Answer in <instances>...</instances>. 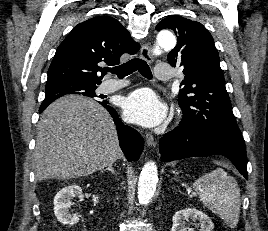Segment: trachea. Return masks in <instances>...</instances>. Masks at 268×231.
<instances>
[{
  "instance_id": "trachea-1",
  "label": "trachea",
  "mask_w": 268,
  "mask_h": 231,
  "mask_svg": "<svg viewBox=\"0 0 268 231\" xmlns=\"http://www.w3.org/2000/svg\"><path fill=\"white\" fill-rule=\"evenodd\" d=\"M136 70H138L147 79H152V73L148 64L139 58L132 59L122 65L107 69L108 72L116 74L119 78H124Z\"/></svg>"
}]
</instances>
